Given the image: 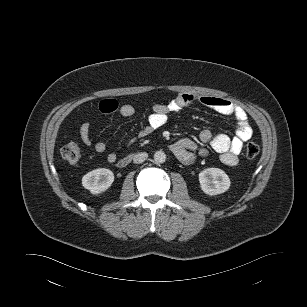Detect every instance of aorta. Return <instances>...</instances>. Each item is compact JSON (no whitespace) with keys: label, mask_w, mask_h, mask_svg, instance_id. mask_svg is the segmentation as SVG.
<instances>
[{"label":"aorta","mask_w":307,"mask_h":307,"mask_svg":"<svg viewBox=\"0 0 307 307\" xmlns=\"http://www.w3.org/2000/svg\"><path fill=\"white\" fill-rule=\"evenodd\" d=\"M166 160V154L163 151H157L154 154V161L158 164L164 163Z\"/></svg>","instance_id":"762f6f07"}]
</instances>
